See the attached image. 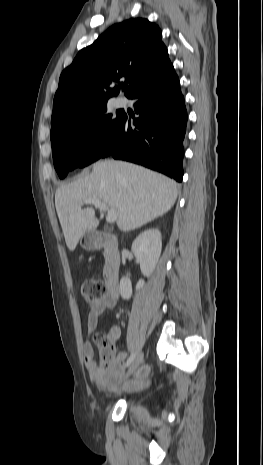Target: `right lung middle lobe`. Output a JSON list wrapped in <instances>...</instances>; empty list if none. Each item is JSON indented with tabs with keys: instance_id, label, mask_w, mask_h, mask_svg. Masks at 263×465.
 I'll return each mask as SVG.
<instances>
[{
	"instance_id": "obj_1",
	"label": "right lung middle lobe",
	"mask_w": 263,
	"mask_h": 465,
	"mask_svg": "<svg viewBox=\"0 0 263 465\" xmlns=\"http://www.w3.org/2000/svg\"><path fill=\"white\" fill-rule=\"evenodd\" d=\"M121 118L119 114L116 118L108 114L104 102L74 110L51 123L53 161L59 177L101 158Z\"/></svg>"
}]
</instances>
